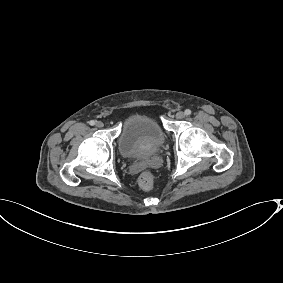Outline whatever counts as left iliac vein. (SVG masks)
Listing matches in <instances>:
<instances>
[{"label":"left iliac vein","instance_id":"4c4485c4","mask_svg":"<svg viewBox=\"0 0 283 283\" xmlns=\"http://www.w3.org/2000/svg\"><path fill=\"white\" fill-rule=\"evenodd\" d=\"M185 117V113L182 111H179L176 113V118L177 119H183Z\"/></svg>","mask_w":283,"mask_h":283}]
</instances>
